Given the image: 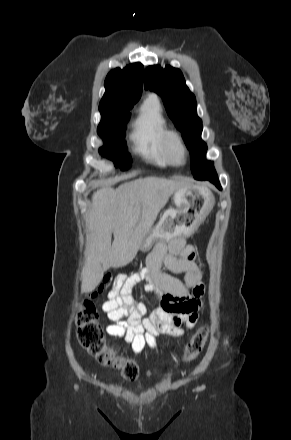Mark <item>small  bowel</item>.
Returning a JSON list of instances; mask_svg holds the SVG:
<instances>
[{"mask_svg": "<svg viewBox=\"0 0 291 440\" xmlns=\"http://www.w3.org/2000/svg\"><path fill=\"white\" fill-rule=\"evenodd\" d=\"M162 264L173 273H184V282L160 272ZM146 265L145 271L117 277L102 306L110 320L107 333L130 343L135 354L146 345L154 348L158 334L182 336L178 327L185 322L192 328L203 305V269L195 260V250L184 239L157 245L148 255ZM141 281L146 282L147 291L159 298L160 307L148 317H144L147 307L131 295L133 287Z\"/></svg>", "mask_w": 291, "mask_h": 440, "instance_id": "small-bowel-1", "label": "small bowel"}]
</instances>
